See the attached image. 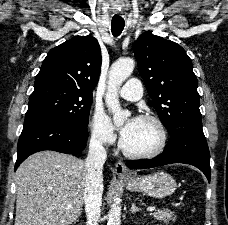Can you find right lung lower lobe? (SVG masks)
<instances>
[{
	"label": "right lung lower lobe",
	"mask_w": 228,
	"mask_h": 225,
	"mask_svg": "<svg viewBox=\"0 0 228 225\" xmlns=\"http://www.w3.org/2000/svg\"><path fill=\"white\" fill-rule=\"evenodd\" d=\"M87 127L59 117L26 119L17 146L15 169L31 154L52 150L76 154L86 147Z\"/></svg>",
	"instance_id": "1"
}]
</instances>
